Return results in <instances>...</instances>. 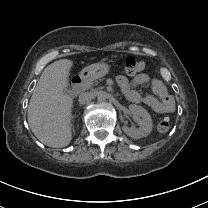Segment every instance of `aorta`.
Masks as SVG:
<instances>
[{"mask_svg":"<svg viewBox=\"0 0 208 208\" xmlns=\"http://www.w3.org/2000/svg\"><path fill=\"white\" fill-rule=\"evenodd\" d=\"M97 100H98L99 103L102 104V103L105 102L106 99H105V97L103 95H100Z\"/></svg>","mask_w":208,"mask_h":208,"instance_id":"aorta-1","label":"aorta"}]
</instances>
